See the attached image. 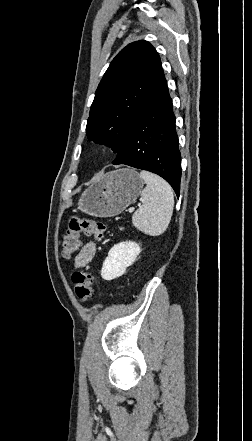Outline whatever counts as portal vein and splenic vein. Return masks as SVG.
Returning <instances> with one entry per match:
<instances>
[{
  "label": "portal vein and splenic vein",
  "mask_w": 252,
  "mask_h": 441,
  "mask_svg": "<svg viewBox=\"0 0 252 441\" xmlns=\"http://www.w3.org/2000/svg\"><path fill=\"white\" fill-rule=\"evenodd\" d=\"M133 211H134L133 207L129 208V213H132Z\"/></svg>",
  "instance_id": "18ae733b"
}]
</instances>
